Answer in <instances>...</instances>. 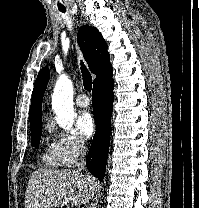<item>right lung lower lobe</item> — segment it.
Masks as SVG:
<instances>
[{
  "label": "right lung lower lobe",
  "instance_id": "1",
  "mask_svg": "<svg viewBox=\"0 0 199 208\" xmlns=\"http://www.w3.org/2000/svg\"><path fill=\"white\" fill-rule=\"evenodd\" d=\"M113 88L114 81L110 79L94 85L92 93L96 133L86 157V167L99 180L104 178L110 145V120L114 101Z\"/></svg>",
  "mask_w": 199,
  "mask_h": 208
}]
</instances>
